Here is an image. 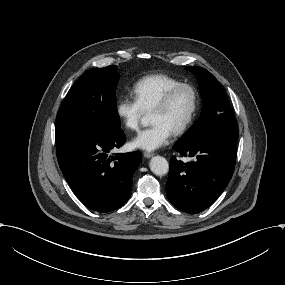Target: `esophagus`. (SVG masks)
<instances>
[{
	"instance_id": "esophagus-1",
	"label": "esophagus",
	"mask_w": 285,
	"mask_h": 285,
	"mask_svg": "<svg viewBox=\"0 0 285 285\" xmlns=\"http://www.w3.org/2000/svg\"><path fill=\"white\" fill-rule=\"evenodd\" d=\"M154 154L150 152H144V157L145 158H151Z\"/></svg>"
}]
</instances>
